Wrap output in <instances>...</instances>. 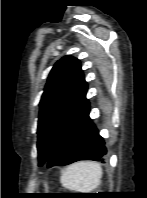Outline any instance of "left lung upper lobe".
<instances>
[{
    "instance_id": "1",
    "label": "left lung upper lobe",
    "mask_w": 147,
    "mask_h": 198,
    "mask_svg": "<svg viewBox=\"0 0 147 198\" xmlns=\"http://www.w3.org/2000/svg\"><path fill=\"white\" fill-rule=\"evenodd\" d=\"M86 92L78 59L67 55L53 66L40 101L39 166L47 163L55 145L87 106Z\"/></svg>"
}]
</instances>
